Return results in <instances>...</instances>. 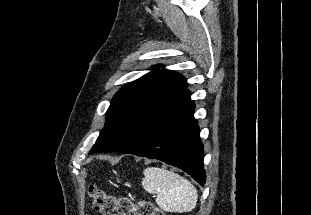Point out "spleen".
I'll return each instance as SVG.
<instances>
[{"instance_id": "obj_1", "label": "spleen", "mask_w": 311, "mask_h": 215, "mask_svg": "<svg viewBox=\"0 0 311 215\" xmlns=\"http://www.w3.org/2000/svg\"><path fill=\"white\" fill-rule=\"evenodd\" d=\"M142 186L147 192L157 194L156 203L166 212H190L196 207L197 189L189 180L173 171L146 168Z\"/></svg>"}]
</instances>
